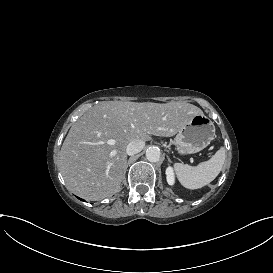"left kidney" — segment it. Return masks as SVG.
<instances>
[{
  "instance_id": "obj_1",
  "label": "left kidney",
  "mask_w": 273,
  "mask_h": 273,
  "mask_svg": "<svg viewBox=\"0 0 273 273\" xmlns=\"http://www.w3.org/2000/svg\"><path fill=\"white\" fill-rule=\"evenodd\" d=\"M165 176L169 186L173 187L176 185V174H175V169L173 166L169 165L166 167Z\"/></svg>"
}]
</instances>
